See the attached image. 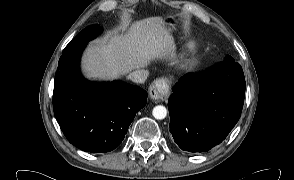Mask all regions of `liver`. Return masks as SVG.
I'll list each match as a JSON object with an SVG mask.
<instances>
[{
  "instance_id": "liver-1",
  "label": "liver",
  "mask_w": 294,
  "mask_h": 180,
  "mask_svg": "<svg viewBox=\"0 0 294 180\" xmlns=\"http://www.w3.org/2000/svg\"><path fill=\"white\" fill-rule=\"evenodd\" d=\"M172 56L173 42L164 19L148 17L134 22L126 33L113 32L106 41L89 45L82 70L87 78L112 80Z\"/></svg>"
}]
</instances>
